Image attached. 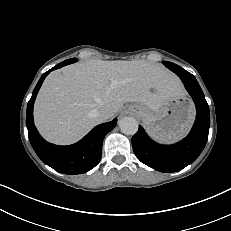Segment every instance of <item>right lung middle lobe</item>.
I'll return each mask as SVG.
<instances>
[{"instance_id":"obj_1","label":"right lung middle lobe","mask_w":231,"mask_h":231,"mask_svg":"<svg viewBox=\"0 0 231 231\" xmlns=\"http://www.w3.org/2000/svg\"><path fill=\"white\" fill-rule=\"evenodd\" d=\"M68 60L73 61L72 63H74V62H76V61H77V59H76V58H72V59H68Z\"/></svg>"}]
</instances>
